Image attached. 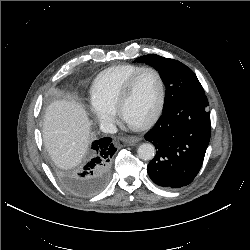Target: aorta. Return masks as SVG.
Wrapping results in <instances>:
<instances>
[{"mask_svg": "<svg viewBox=\"0 0 250 250\" xmlns=\"http://www.w3.org/2000/svg\"><path fill=\"white\" fill-rule=\"evenodd\" d=\"M137 153L142 160H152L155 156V147L151 143H143L138 147Z\"/></svg>", "mask_w": 250, "mask_h": 250, "instance_id": "1", "label": "aorta"}]
</instances>
